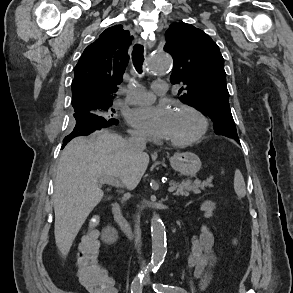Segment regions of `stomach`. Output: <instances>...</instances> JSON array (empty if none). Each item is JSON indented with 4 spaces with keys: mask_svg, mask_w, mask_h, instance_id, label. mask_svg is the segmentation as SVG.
<instances>
[{
    "mask_svg": "<svg viewBox=\"0 0 293 293\" xmlns=\"http://www.w3.org/2000/svg\"><path fill=\"white\" fill-rule=\"evenodd\" d=\"M172 168L181 176L194 177L201 169L200 158L192 152L175 154L170 158Z\"/></svg>",
    "mask_w": 293,
    "mask_h": 293,
    "instance_id": "1",
    "label": "stomach"
}]
</instances>
